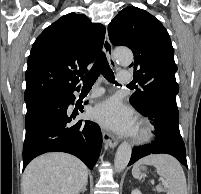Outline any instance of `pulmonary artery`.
Listing matches in <instances>:
<instances>
[{"mask_svg":"<svg viewBox=\"0 0 201 194\" xmlns=\"http://www.w3.org/2000/svg\"><path fill=\"white\" fill-rule=\"evenodd\" d=\"M118 82L121 84H129L133 80V76L129 71H120L117 75ZM103 89L94 90L88 98H96L103 94Z\"/></svg>","mask_w":201,"mask_h":194,"instance_id":"e3ab8cb5","label":"pulmonary artery"}]
</instances>
